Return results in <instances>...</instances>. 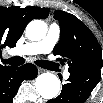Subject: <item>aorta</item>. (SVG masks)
Instances as JSON below:
<instances>
[{
    "label": "aorta",
    "mask_w": 103,
    "mask_h": 103,
    "mask_svg": "<svg viewBox=\"0 0 103 103\" xmlns=\"http://www.w3.org/2000/svg\"><path fill=\"white\" fill-rule=\"evenodd\" d=\"M47 25L42 20H33L26 27V36L31 41H39L45 37ZM35 87L44 99H53L60 91V80L51 73H43L36 78Z\"/></svg>",
    "instance_id": "aorta-1"
}]
</instances>
